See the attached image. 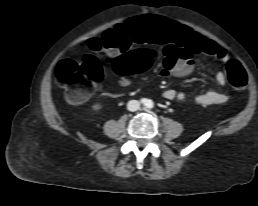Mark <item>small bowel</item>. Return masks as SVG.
<instances>
[{"mask_svg": "<svg viewBox=\"0 0 258 206\" xmlns=\"http://www.w3.org/2000/svg\"><path fill=\"white\" fill-rule=\"evenodd\" d=\"M160 39L165 44L162 50L164 59L163 66L159 71L160 76L183 77L190 75L195 70V62L192 58L195 53L208 54L222 62L229 59L228 52L216 42L207 40L186 26L173 24L171 30L160 36ZM128 41V36L124 30L116 27L104 34L101 44L110 56L118 57L124 51ZM215 79L219 86L226 83V75L221 70L216 72ZM118 84L121 87H129L132 81L126 76H121L118 79ZM163 97L167 100H184L186 93L167 89L163 92ZM228 100L227 94L210 90L197 95L194 102L197 105L209 106L225 104Z\"/></svg>", "mask_w": 258, "mask_h": 206, "instance_id": "obj_1", "label": "small bowel"}]
</instances>
